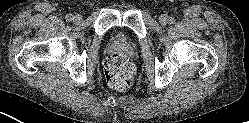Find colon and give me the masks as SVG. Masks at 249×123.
Instances as JSON below:
<instances>
[{"instance_id":"5ec220e1","label":"colon","mask_w":249,"mask_h":123,"mask_svg":"<svg viewBox=\"0 0 249 123\" xmlns=\"http://www.w3.org/2000/svg\"><path fill=\"white\" fill-rule=\"evenodd\" d=\"M104 74L109 87L117 91H125L134 82L135 69L127 56L113 54L104 62Z\"/></svg>"}]
</instances>
